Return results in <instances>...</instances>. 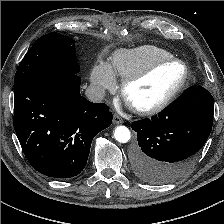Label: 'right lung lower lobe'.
Returning <instances> with one entry per match:
<instances>
[{
    "instance_id": "1",
    "label": "right lung lower lobe",
    "mask_w": 224,
    "mask_h": 224,
    "mask_svg": "<svg viewBox=\"0 0 224 224\" xmlns=\"http://www.w3.org/2000/svg\"><path fill=\"white\" fill-rule=\"evenodd\" d=\"M76 74L50 72L14 91V129L22 150L38 172L70 178L86 166L93 138L112 123L103 103L80 95Z\"/></svg>"
}]
</instances>
